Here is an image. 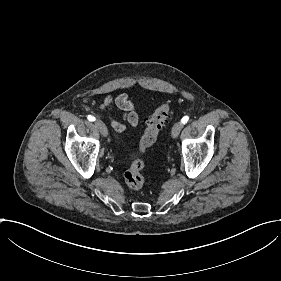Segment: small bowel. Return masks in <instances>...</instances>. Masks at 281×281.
I'll use <instances>...</instances> for the list:
<instances>
[{
    "label": "small bowel",
    "instance_id": "1",
    "mask_svg": "<svg viewBox=\"0 0 281 281\" xmlns=\"http://www.w3.org/2000/svg\"><path fill=\"white\" fill-rule=\"evenodd\" d=\"M101 112H114L120 110L122 112L123 120L130 126L135 127L138 124V115L134 104L124 94H113L107 97L99 106ZM110 126L119 133L126 130L127 126L115 116L108 118Z\"/></svg>",
    "mask_w": 281,
    "mask_h": 281
}]
</instances>
